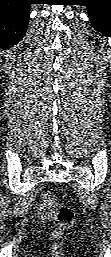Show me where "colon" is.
<instances>
[{
    "label": "colon",
    "mask_w": 111,
    "mask_h": 257,
    "mask_svg": "<svg viewBox=\"0 0 111 257\" xmlns=\"http://www.w3.org/2000/svg\"><path fill=\"white\" fill-rule=\"evenodd\" d=\"M43 204L48 210L55 214L58 220L59 226L55 230L54 236H62L73 225L74 212L69 207L58 205L55 195L50 191L44 192Z\"/></svg>",
    "instance_id": "obj_1"
}]
</instances>
